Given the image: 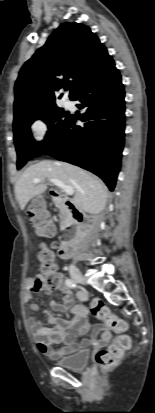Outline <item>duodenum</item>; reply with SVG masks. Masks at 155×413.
Here are the masks:
<instances>
[{
	"label": "duodenum",
	"mask_w": 155,
	"mask_h": 413,
	"mask_svg": "<svg viewBox=\"0 0 155 413\" xmlns=\"http://www.w3.org/2000/svg\"><path fill=\"white\" fill-rule=\"evenodd\" d=\"M50 193L52 198L68 211L71 221V226L64 232L63 241L59 247V256L61 258H68L73 254L75 242L77 240L75 238V230L73 227L76 225L81 229L85 224V218L83 213L75 205L73 199L64 196L57 189H52Z\"/></svg>",
	"instance_id": "410a0bca"
}]
</instances>
